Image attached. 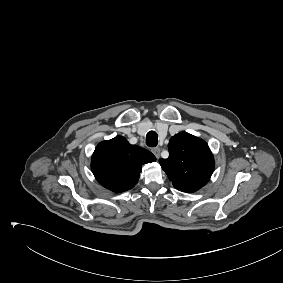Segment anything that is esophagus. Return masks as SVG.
<instances>
[{
	"mask_svg": "<svg viewBox=\"0 0 283 283\" xmlns=\"http://www.w3.org/2000/svg\"><path fill=\"white\" fill-rule=\"evenodd\" d=\"M160 152H161V149H160V148H153V149H152V153L155 155V157H156L157 159H159V157H160Z\"/></svg>",
	"mask_w": 283,
	"mask_h": 283,
	"instance_id": "34e87169",
	"label": "esophagus"
}]
</instances>
